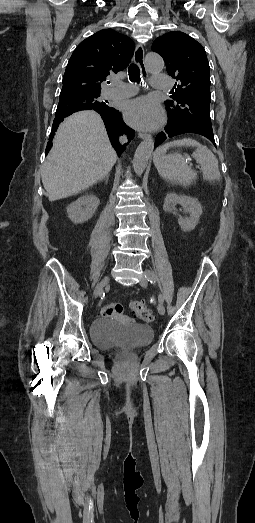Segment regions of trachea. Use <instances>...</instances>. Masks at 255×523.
Masks as SVG:
<instances>
[{"mask_svg":"<svg viewBox=\"0 0 255 523\" xmlns=\"http://www.w3.org/2000/svg\"><path fill=\"white\" fill-rule=\"evenodd\" d=\"M129 79L132 82L140 83V70L136 64H131L128 68Z\"/></svg>","mask_w":255,"mask_h":523,"instance_id":"trachea-1","label":"trachea"}]
</instances>
